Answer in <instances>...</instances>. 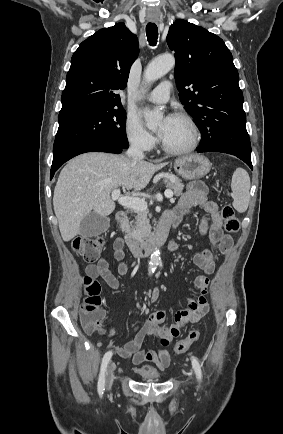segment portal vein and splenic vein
<instances>
[{"label":"portal vein and splenic vein","instance_id":"portal-vein-and-splenic-vein-1","mask_svg":"<svg viewBox=\"0 0 283 434\" xmlns=\"http://www.w3.org/2000/svg\"><path fill=\"white\" fill-rule=\"evenodd\" d=\"M166 198L173 201V191L166 190L164 192ZM112 199L118 201V203L126 208H131L136 211H145L147 210V203L144 199L138 197L131 196H120V189H116L112 192Z\"/></svg>","mask_w":283,"mask_h":434}]
</instances>
